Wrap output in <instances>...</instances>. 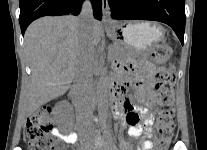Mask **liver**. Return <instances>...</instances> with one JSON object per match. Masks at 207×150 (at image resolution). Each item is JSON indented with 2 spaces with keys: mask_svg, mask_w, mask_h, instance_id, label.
<instances>
[{
  "mask_svg": "<svg viewBox=\"0 0 207 150\" xmlns=\"http://www.w3.org/2000/svg\"><path fill=\"white\" fill-rule=\"evenodd\" d=\"M81 35L79 20L74 16L43 17L27 28L24 47L31 77L22 92L21 109L25 117L63 95L76 79ZM103 35L102 24L93 20L90 37L94 46Z\"/></svg>",
  "mask_w": 207,
  "mask_h": 150,
  "instance_id": "liver-1",
  "label": "liver"
}]
</instances>
